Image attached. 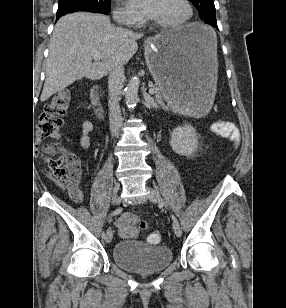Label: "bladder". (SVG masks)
I'll use <instances>...</instances> for the list:
<instances>
[{
	"label": "bladder",
	"mask_w": 286,
	"mask_h": 308,
	"mask_svg": "<svg viewBox=\"0 0 286 308\" xmlns=\"http://www.w3.org/2000/svg\"><path fill=\"white\" fill-rule=\"evenodd\" d=\"M112 259L121 268L150 273L165 269L173 259V252L167 246L146 245L139 240H121L112 247Z\"/></svg>",
	"instance_id": "bladder-1"
}]
</instances>
